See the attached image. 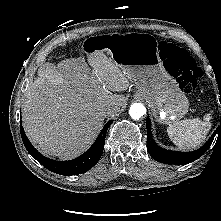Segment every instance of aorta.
<instances>
[{
  "mask_svg": "<svg viewBox=\"0 0 221 221\" xmlns=\"http://www.w3.org/2000/svg\"><path fill=\"white\" fill-rule=\"evenodd\" d=\"M129 114L132 119L138 120L140 119L144 114H146V108L141 103H133L130 106Z\"/></svg>",
  "mask_w": 221,
  "mask_h": 221,
  "instance_id": "762f6f07",
  "label": "aorta"
}]
</instances>
